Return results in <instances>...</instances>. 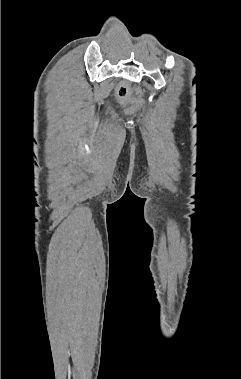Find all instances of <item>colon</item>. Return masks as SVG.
<instances>
[{
  "label": "colon",
  "mask_w": 241,
  "mask_h": 379,
  "mask_svg": "<svg viewBox=\"0 0 241 379\" xmlns=\"http://www.w3.org/2000/svg\"><path fill=\"white\" fill-rule=\"evenodd\" d=\"M118 98L123 102L129 101V96L127 93V90L124 87H120L117 91ZM138 105H140V102H138Z\"/></svg>",
  "instance_id": "obj_1"
}]
</instances>
